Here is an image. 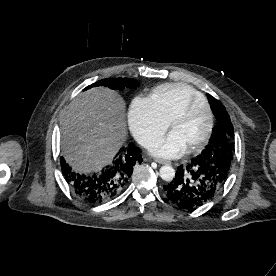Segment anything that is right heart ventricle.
<instances>
[{"label":"right heart ventricle","instance_id":"obj_1","mask_svg":"<svg viewBox=\"0 0 276 276\" xmlns=\"http://www.w3.org/2000/svg\"><path fill=\"white\" fill-rule=\"evenodd\" d=\"M149 100L161 116L170 122L172 117L193 100H205L204 96L193 87L184 83H165L157 86Z\"/></svg>","mask_w":276,"mask_h":276}]
</instances>
